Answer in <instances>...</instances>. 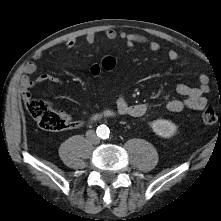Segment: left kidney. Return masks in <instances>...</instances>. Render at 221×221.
Listing matches in <instances>:
<instances>
[{
	"mask_svg": "<svg viewBox=\"0 0 221 221\" xmlns=\"http://www.w3.org/2000/svg\"><path fill=\"white\" fill-rule=\"evenodd\" d=\"M151 127L153 132L162 138L172 137L178 129L175 123L165 119L153 121Z\"/></svg>",
	"mask_w": 221,
	"mask_h": 221,
	"instance_id": "obj_1",
	"label": "left kidney"
}]
</instances>
